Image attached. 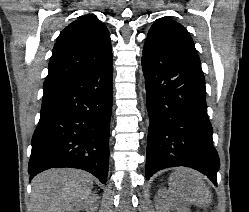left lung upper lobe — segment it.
<instances>
[{
	"label": "left lung upper lobe",
	"instance_id": "left-lung-upper-lobe-1",
	"mask_svg": "<svg viewBox=\"0 0 249 212\" xmlns=\"http://www.w3.org/2000/svg\"><path fill=\"white\" fill-rule=\"evenodd\" d=\"M154 49L186 63L201 66L190 34L181 24L173 20L162 18L152 25L143 51Z\"/></svg>",
	"mask_w": 249,
	"mask_h": 212
}]
</instances>
